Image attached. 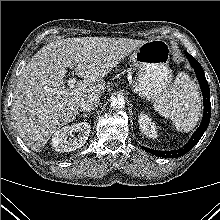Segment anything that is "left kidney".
Returning <instances> with one entry per match:
<instances>
[{
	"instance_id": "1",
	"label": "left kidney",
	"mask_w": 220,
	"mask_h": 220,
	"mask_svg": "<svg viewBox=\"0 0 220 220\" xmlns=\"http://www.w3.org/2000/svg\"><path fill=\"white\" fill-rule=\"evenodd\" d=\"M139 127L141 132L148 138H156L157 132L155 124L152 122V120L148 117V115L141 113L139 115Z\"/></svg>"
}]
</instances>
